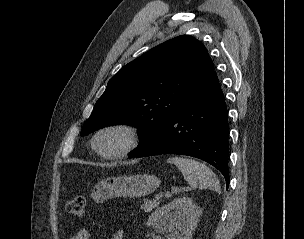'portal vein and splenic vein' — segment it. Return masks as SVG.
<instances>
[{"mask_svg": "<svg viewBox=\"0 0 304 239\" xmlns=\"http://www.w3.org/2000/svg\"><path fill=\"white\" fill-rule=\"evenodd\" d=\"M160 196H161V195H160ZM160 196H158L157 198H160ZM166 196H168V197L171 196V192H169V191L166 192Z\"/></svg>", "mask_w": 304, "mask_h": 239, "instance_id": "18ae733b", "label": "portal vein and splenic vein"}]
</instances>
